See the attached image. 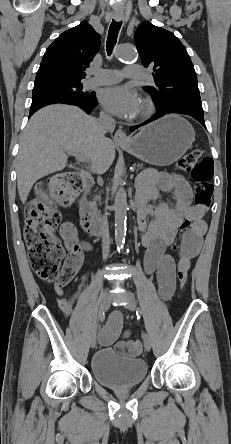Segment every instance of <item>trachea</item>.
Masks as SVG:
<instances>
[{"label": "trachea", "mask_w": 231, "mask_h": 444, "mask_svg": "<svg viewBox=\"0 0 231 444\" xmlns=\"http://www.w3.org/2000/svg\"><path fill=\"white\" fill-rule=\"evenodd\" d=\"M121 25H122V22H117V21L113 20L110 27H109L108 39H107V45H106L108 55H110L112 53L113 47L116 44Z\"/></svg>", "instance_id": "obj_1"}]
</instances>
